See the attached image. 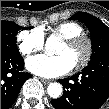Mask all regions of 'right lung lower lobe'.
Segmentation results:
<instances>
[{"mask_svg":"<svg viewBox=\"0 0 109 109\" xmlns=\"http://www.w3.org/2000/svg\"><path fill=\"white\" fill-rule=\"evenodd\" d=\"M24 60L20 54L1 53V109H8L16 101L24 82L32 77L22 72Z\"/></svg>","mask_w":109,"mask_h":109,"instance_id":"right-lung-lower-lobe-1","label":"right lung lower lobe"}]
</instances>
